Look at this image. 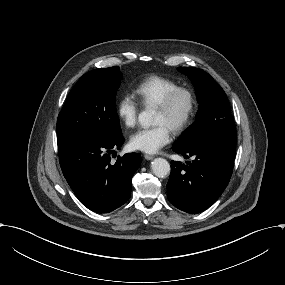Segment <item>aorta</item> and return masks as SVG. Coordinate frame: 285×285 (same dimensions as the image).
I'll return each instance as SVG.
<instances>
[{"instance_id": "762f6f07", "label": "aorta", "mask_w": 285, "mask_h": 285, "mask_svg": "<svg viewBox=\"0 0 285 285\" xmlns=\"http://www.w3.org/2000/svg\"><path fill=\"white\" fill-rule=\"evenodd\" d=\"M139 122L143 126H150L153 123V112L143 111L138 116ZM151 169L155 176L164 178L170 173V164L163 158H155L151 163Z\"/></svg>"}]
</instances>
